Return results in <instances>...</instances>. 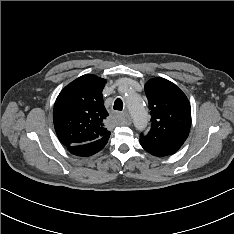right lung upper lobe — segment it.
<instances>
[{"mask_svg":"<svg viewBox=\"0 0 234 234\" xmlns=\"http://www.w3.org/2000/svg\"><path fill=\"white\" fill-rule=\"evenodd\" d=\"M105 84V79L87 74L71 82L58 95L53 121L56 134L66 147L108 141V113L102 96Z\"/></svg>","mask_w":234,"mask_h":234,"instance_id":"1","label":"right lung upper lobe"}]
</instances>
